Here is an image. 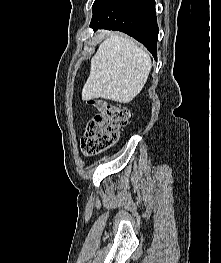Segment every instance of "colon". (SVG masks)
I'll list each match as a JSON object with an SVG mask.
<instances>
[{"label": "colon", "mask_w": 221, "mask_h": 263, "mask_svg": "<svg viewBox=\"0 0 221 263\" xmlns=\"http://www.w3.org/2000/svg\"><path fill=\"white\" fill-rule=\"evenodd\" d=\"M88 103L98 113L87 124L83 148L88 156H95L117 142L121 129L129 121L130 112L125 107L101 99L89 100Z\"/></svg>", "instance_id": "5ec220e1"}]
</instances>
